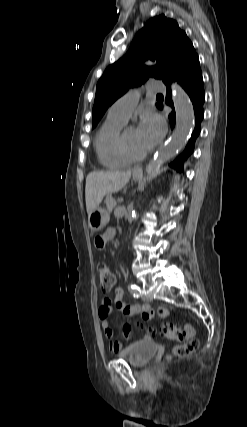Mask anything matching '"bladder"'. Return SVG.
<instances>
[{"label": "bladder", "mask_w": 247, "mask_h": 427, "mask_svg": "<svg viewBox=\"0 0 247 427\" xmlns=\"http://www.w3.org/2000/svg\"><path fill=\"white\" fill-rule=\"evenodd\" d=\"M157 345L153 342L138 341L117 353V357L128 361L132 366L146 365L156 354Z\"/></svg>", "instance_id": "31cf9c89"}]
</instances>
